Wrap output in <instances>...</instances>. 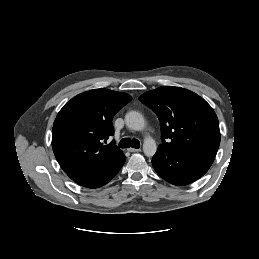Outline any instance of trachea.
Instances as JSON below:
<instances>
[{
  "mask_svg": "<svg viewBox=\"0 0 259 259\" xmlns=\"http://www.w3.org/2000/svg\"><path fill=\"white\" fill-rule=\"evenodd\" d=\"M119 146L121 148H129V147H132V148H136L138 149L140 147V142L139 140L133 138V139H130V138H123L120 142H119Z\"/></svg>",
  "mask_w": 259,
  "mask_h": 259,
  "instance_id": "1",
  "label": "trachea"
}]
</instances>
